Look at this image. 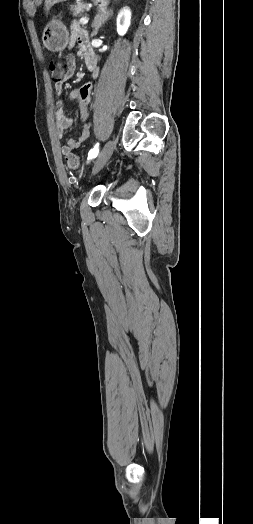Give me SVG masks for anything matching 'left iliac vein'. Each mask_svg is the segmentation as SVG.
I'll use <instances>...</instances> for the list:
<instances>
[{"label": "left iliac vein", "mask_w": 253, "mask_h": 524, "mask_svg": "<svg viewBox=\"0 0 253 524\" xmlns=\"http://www.w3.org/2000/svg\"><path fill=\"white\" fill-rule=\"evenodd\" d=\"M115 148V143L109 140L101 150L93 167V173L98 172L109 160Z\"/></svg>", "instance_id": "4c4485c4"}]
</instances>
